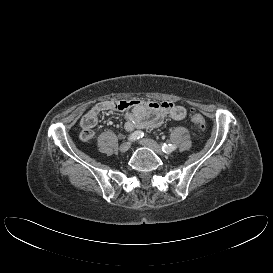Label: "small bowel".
<instances>
[{"instance_id":"obj_1","label":"small bowel","mask_w":273,"mask_h":273,"mask_svg":"<svg viewBox=\"0 0 273 273\" xmlns=\"http://www.w3.org/2000/svg\"><path fill=\"white\" fill-rule=\"evenodd\" d=\"M105 111H120L125 113L126 122L124 128L130 132L134 129L151 130L158 127L167 118L182 120L187 116L183 106L169 101L161 103L141 100H108L97 103L81 119L80 138L90 141L94 138V127L99 116Z\"/></svg>"}]
</instances>
